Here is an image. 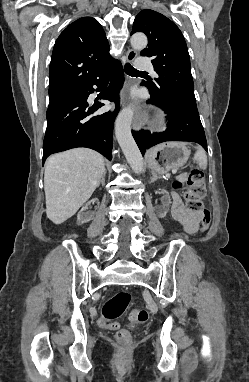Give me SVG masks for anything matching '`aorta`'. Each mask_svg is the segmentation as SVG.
Segmentation results:
<instances>
[{
  "label": "aorta",
  "mask_w": 249,
  "mask_h": 382,
  "mask_svg": "<svg viewBox=\"0 0 249 382\" xmlns=\"http://www.w3.org/2000/svg\"><path fill=\"white\" fill-rule=\"evenodd\" d=\"M131 45L136 50H142L147 46V37L143 33H135L131 37ZM134 109L132 106L124 108L116 118L115 135L116 139L126 157L132 170L139 174L143 171V157L132 136L131 123Z\"/></svg>",
  "instance_id": "1"
}]
</instances>
